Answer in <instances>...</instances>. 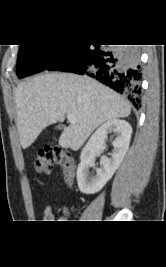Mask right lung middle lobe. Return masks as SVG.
Segmentation results:
<instances>
[{
    "mask_svg": "<svg viewBox=\"0 0 166 267\" xmlns=\"http://www.w3.org/2000/svg\"><path fill=\"white\" fill-rule=\"evenodd\" d=\"M17 76L23 78L45 70L67 45H19Z\"/></svg>",
    "mask_w": 166,
    "mask_h": 267,
    "instance_id": "obj_1",
    "label": "right lung middle lobe"
}]
</instances>
